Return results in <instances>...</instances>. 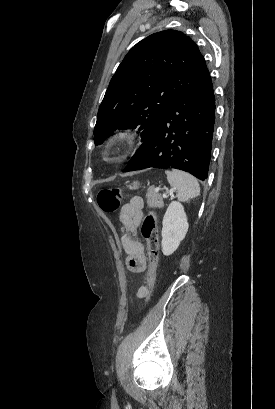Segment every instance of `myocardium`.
Masks as SVG:
<instances>
[{
    "label": "myocardium",
    "mask_w": 275,
    "mask_h": 409,
    "mask_svg": "<svg viewBox=\"0 0 275 409\" xmlns=\"http://www.w3.org/2000/svg\"><path fill=\"white\" fill-rule=\"evenodd\" d=\"M133 140V135L129 132H121L117 138L109 145L108 150L110 152H116L122 147L130 144Z\"/></svg>",
    "instance_id": "obj_1"
}]
</instances>
